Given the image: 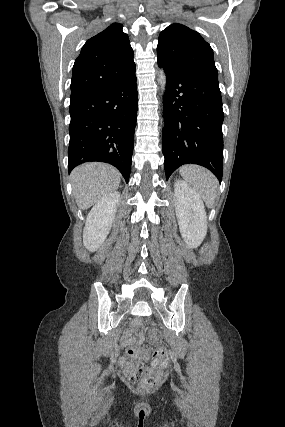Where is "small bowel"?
I'll use <instances>...</instances> for the list:
<instances>
[{
  "label": "small bowel",
  "mask_w": 285,
  "mask_h": 427,
  "mask_svg": "<svg viewBox=\"0 0 285 427\" xmlns=\"http://www.w3.org/2000/svg\"><path fill=\"white\" fill-rule=\"evenodd\" d=\"M123 347H125V345H123ZM121 364L126 368V370L129 374H132V372H133V369H132L133 361H131L127 357L123 356L121 358Z\"/></svg>",
  "instance_id": "small-bowel-1"
}]
</instances>
